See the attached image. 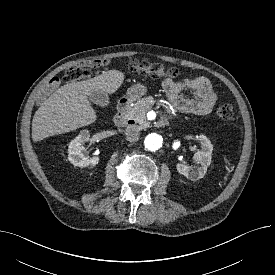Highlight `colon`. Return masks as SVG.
Instances as JSON below:
<instances>
[{
    "instance_id": "1",
    "label": "colon",
    "mask_w": 275,
    "mask_h": 275,
    "mask_svg": "<svg viewBox=\"0 0 275 275\" xmlns=\"http://www.w3.org/2000/svg\"><path fill=\"white\" fill-rule=\"evenodd\" d=\"M108 64L107 60H89L82 66H72L66 69L62 79L65 82H79L89 78L87 68H95ZM127 67L138 74L159 78H176L179 75V70L175 67H166L160 63H151L144 60H130L127 62ZM54 84L59 82L58 78L53 79ZM216 115L222 120H230L234 116V108L230 103H224L216 109Z\"/></svg>"
}]
</instances>
